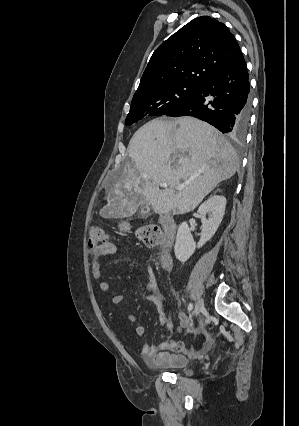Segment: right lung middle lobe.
Returning a JSON list of instances; mask_svg holds the SVG:
<instances>
[{
  "label": "right lung middle lobe",
  "mask_w": 299,
  "mask_h": 426,
  "mask_svg": "<svg viewBox=\"0 0 299 426\" xmlns=\"http://www.w3.org/2000/svg\"><path fill=\"white\" fill-rule=\"evenodd\" d=\"M198 88L195 84H175L133 99L125 124L131 125L144 116L168 115L187 102Z\"/></svg>",
  "instance_id": "1"
}]
</instances>
